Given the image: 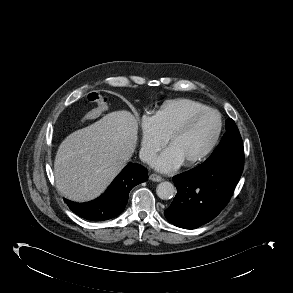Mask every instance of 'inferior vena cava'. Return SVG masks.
Here are the masks:
<instances>
[{
  "label": "inferior vena cava",
  "mask_w": 293,
  "mask_h": 293,
  "mask_svg": "<svg viewBox=\"0 0 293 293\" xmlns=\"http://www.w3.org/2000/svg\"><path fill=\"white\" fill-rule=\"evenodd\" d=\"M139 157L144 163L150 164L155 158V153L151 150L142 148L140 150Z\"/></svg>",
  "instance_id": "inferior-vena-cava-1"
}]
</instances>
